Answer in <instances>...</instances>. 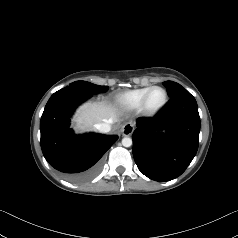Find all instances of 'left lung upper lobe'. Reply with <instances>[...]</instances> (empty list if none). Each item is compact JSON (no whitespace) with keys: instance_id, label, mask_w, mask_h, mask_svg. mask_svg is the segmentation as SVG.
Masks as SVG:
<instances>
[{"instance_id":"obj_1","label":"left lung upper lobe","mask_w":238,"mask_h":238,"mask_svg":"<svg viewBox=\"0 0 238 238\" xmlns=\"http://www.w3.org/2000/svg\"><path fill=\"white\" fill-rule=\"evenodd\" d=\"M164 85L167 88L168 95L171 98L177 95L179 92L185 90L180 84L173 81H165Z\"/></svg>"}]
</instances>
